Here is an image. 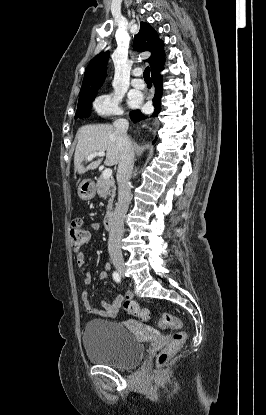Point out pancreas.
<instances>
[{
  "label": "pancreas",
  "instance_id": "obj_1",
  "mask_svg": "<svg viewBox=\"0 0 266 415\" xmlns=\"http://www.w3.org/2000/svg\"><path fill=\"white\" fill-rule=\"evenodd\" d=\"M96 190L97 194L103 199H106L107 196L110 197L108 200L107 211L111 212L113 208V200L116 195V186L114 179L112 177L104 179L102 176H100L97 180Z\"/></svg>",
  "mask_w": 266,
  "mask_h": 415
}]
</instances>
